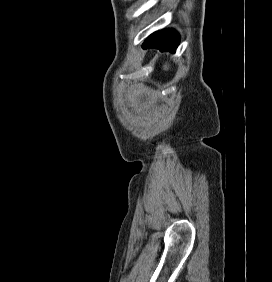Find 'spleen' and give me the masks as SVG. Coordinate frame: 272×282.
<instances>
[{"mask_svg":"<svg viewBox=\"0 0 272 282\" xmlns=\"http://www.w3.org/2000/svg\"><path fill=\"white\" fill-rule=\"evenodd\" d=\"M164 70H167L166 66L164 67Z\"/></svg>","mask_w":272,"mask_h":282,"instance_id":"spleen-1","label":"spleen"}]
</instances>
